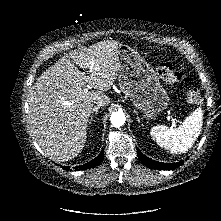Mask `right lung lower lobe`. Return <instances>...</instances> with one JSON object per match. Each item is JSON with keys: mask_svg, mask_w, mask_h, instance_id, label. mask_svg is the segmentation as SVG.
<instances>
[{"mask_svg": "<svg viewBox=\"0 0 221 221\" xmlns=\"http://www.w3.org/2000/svg\"><path fill=\"white\" fill-rule=\"evenodd\" d=\"M103 157H104V151H101L100 154L94 160H92L88 164H84L82 166H78L77 168L80 169V170H85V169H89V168L95 167V166H97V165H99L101 163ZM63 168L65 170H69V167H67V166H63Z\"/></svg>", "mask_w": 221, "mask_h": 221, "instance_id": "1", "label": "right lung lower lobe"}]
</instances>
